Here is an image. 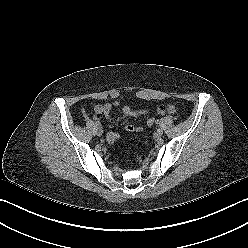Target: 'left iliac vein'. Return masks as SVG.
<instances>
[{
  "label": "left iliac vein",
  "instance_id": "1",
  "mask_svg": "<svg viewBox=\"0 0 248 248\" xmlns=\"http://www.w3.org/2000/svg\"><path fill=\"white\" fill-rule=\"evenodd\" d=\"M163 134V130L162 129H157L156 133H155V137L156 138H160Z\"/></svg>",
  "mask_w": 248,
  "mask_h": 248
}]
</instances>
